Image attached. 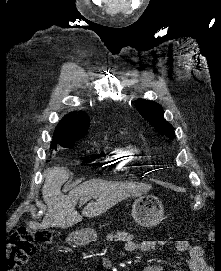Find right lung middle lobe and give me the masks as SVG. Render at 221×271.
<instances>
[{
  "instance_id": "dd1d6c3e",
  "label": "right lung middle lobe",
  "mask_w": 221,
  "mask_h": 271,
  "mask_svg": "<svg viewBox=\"0 0 221 271\" xmlns=\"http://www.w3.org/2000/svg\"><path fill=\"white\" fill-rule=\"evenodd\" d=\"M79 139H72V140H66V139H53V142L51 144V147H54L55 144H59L62 147L66 148H72L74 146V141H77Z\"/></svg>"
}]
</instances>
